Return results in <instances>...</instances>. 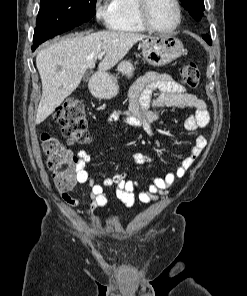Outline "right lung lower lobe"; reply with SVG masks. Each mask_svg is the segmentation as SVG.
Here are the masks:
<instances>
[{"label": "right lung lower lobe", "instance_id": "right-lung-lower-lobe-1", "mask_svg": "<svg viewBox=\"0 0 247 296\" xmlns=\"http://www.w3.org/2000/svg\"><path fill=\"white\" fill-rule=\"evenodd\" d=\"M36 47H37L36 45H33L32 50L34 51L36 49Z\"/></svg>", "mask_w": 247, "mask_h": 296}]
</instances>
